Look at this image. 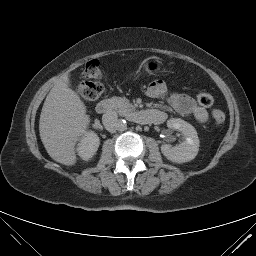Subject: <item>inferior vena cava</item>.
<instances>
[{"instance_id": "602c4592", "label": "inferior vena cava", "mask_w": 256, "mask_h": 256, "mask_svg": "<svg viewBox=\"0 0 256 256\" xmlns=\"http://www.w3.org/2000/svg\"><path fill=\"white\" fill-rule=\"evenodd\" d=\"M102 122L106 130L114 132L118 128V114L115 111H107L102 116Z\"/></svg>"}]
</instances>
